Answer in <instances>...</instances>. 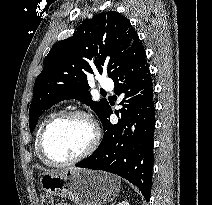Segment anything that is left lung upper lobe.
I'll return each instance as SVG.
<instances>
[{"instance_id": "1", "label": "left lung upper lobe", "mask_w": 212, "mask_h": 205, "mask_svg": "<svg viewBox=\"0 0 212 205\" xmlns=\"http://www.w3.org/2000/svg\"><path fill=\"white\" fill-rule=\"evenodd\" d=\"M138 37L129 20L116 11L102 12L81 26L72 37L57 42L44 59L34 84L29 109L33 132L41 114L65 99H78L102 119L109 103L93 102L87 76L107 71L113 77L128 48Z\"/></svg>"}]
</instances>
